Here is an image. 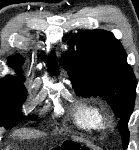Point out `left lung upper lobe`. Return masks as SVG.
I'll return each instance as SVG.
<instances>
[{"mask_svg":"<svg viewBox=\"0 0 139 150\" xmlns=\"http://www.w3.org/2000/svg\"><path fill=\"white\" fill-rule=\"evenodd\" d=\"M71 43L77 45V51L69 49L62 55V63L73 85L78 94L99 95L110 104L120 119L118 130L127 148V123L134 108L137 81L123 47L112 33L103 30L84 32Z\"/></svg>","mask_w":139,"mask_h":150,"instance_id":"left-lung-upper-lobe-1","label":"left lung upper lobe"}]
</instances>
